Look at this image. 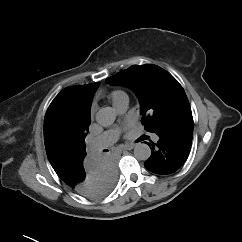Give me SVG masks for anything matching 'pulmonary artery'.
Here are the masks:
<instances>
[{
    "label": "pulmonary artery",
    "mask_w": 242,
    "mask_h": 242,
    "mask_svg": "<svg viewBox=\"0 0 242 242\" xmlns=\"http://www.w3.org/2000/svg\"><path fill=\"white\" fill-rule=\"evenodd\" d=\"M128 103H129L128 97L122 96L114 103V106L120 114H123L128 108ZM118 137H119L118 130L111 129V130L105 131L104 133H102L101 135H99L97 138L94 139V141L92 142V147L94 149H102V148L108 147L114 144L117 141ZM153 140L157 141L158 137L154 136Z\"/></svg>",
    "instance_id": "pulmonary-artery-1"
}]
</instances>
